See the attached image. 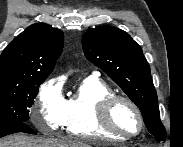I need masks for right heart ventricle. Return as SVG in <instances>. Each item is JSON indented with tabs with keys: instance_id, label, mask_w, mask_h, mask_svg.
Instances as JSON below:
<instances>
[{
	"instance_id": "e07e8e85",
	"label": "right heart ventricle",
	"mask_w": 183,
	"mask_h": 147,
	"mask_svg": "<svg viewBox=\"0 0 183 147\" xmlns=\"http://www.w3.org/2000/svg\"><path fill=\"white\" fill-rule=\"evenodd\" d=\"M111 94L112 89L95 77L82 80L65 102L62 126L66 133L83 139L122 140L107 132L97 118L98 102Z\"/></svg>"
}]
</instances>
